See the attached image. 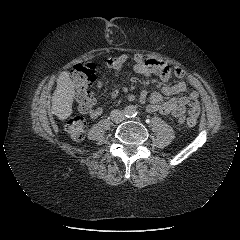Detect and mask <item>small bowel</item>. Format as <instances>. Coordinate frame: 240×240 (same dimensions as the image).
Wrapping results in <instances>:
<instances>
[{"label":"small bowel","instance_id":"obj_1","mask_svg":"<svg viewBox=\"0 0 240 240\" xmlns=\"http://www.w3.org/2000/svg\"><path fill=\"white\" fill-rule=\"evenodd\" d=\"M124 66H131L135 72L146 78L151 74L159 77L162 82L168 81L171 75L183 79L185 72L180 67L171 68L166 62L158 59H146L137 54L132 59L127 54H120L109 59L105 65L108 69L119 70ZM97 89L102 88V82L98 81ZM186 92L185 96H178ZM120 95L118 90L111 92V98L116 99ZM164 96H172L165 99ZM139 101L149 112H159L163 115H170L176 122L183 123L186 118H197L200 114L198 102V91L195 86L186 83L184 80L178 81L172 86H163L159 91L148 94L142 90ZM103 113L102 107H95L89 114L92 118H97Z\"/></svg>","mask_w":240,"mask_h":240}]
</instances>
